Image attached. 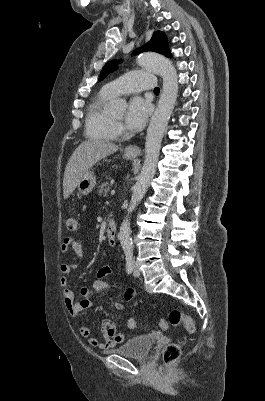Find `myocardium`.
Here are the masks:
<instances>
[{
	"mask_svg": "<svg viewBox=\"0 0 265 401\" xmlns=\"http://www.w3.org/2000/svg\"><path fill=\"white\" fill-rule=\"evenodd\" d=\"M114 123H115L116 126L122 125L121 122L114 121Z\"/></svg>",
	"mask_w": 265,
	"mask_h": 401,
	"instance_id": "obj_1",
	"label": "myocardium"
}]
</instances>
